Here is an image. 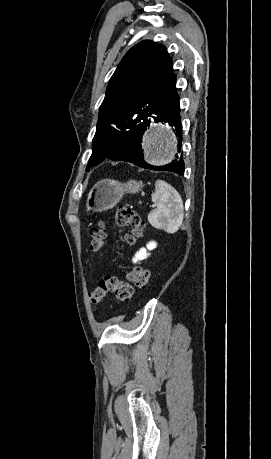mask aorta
Masks as SVG:
<instances>
[{
    "label": "aorta",
    "mask_w": 271,
    "mask_h": 459,
    "mask_svg": "<svg viewBox=\"0 0 271 459\" xmlns=\"http://www.w3.org/2000/svg\"><path fill=\"white\" fill-rule=\"evenodd\" d=\"M176 153V140L165 125L154 126L147 135L144 158L147 162L159 165L171 162Z\"/></svg>",
    "instance_id": "obj_1"
}]
</instances>
